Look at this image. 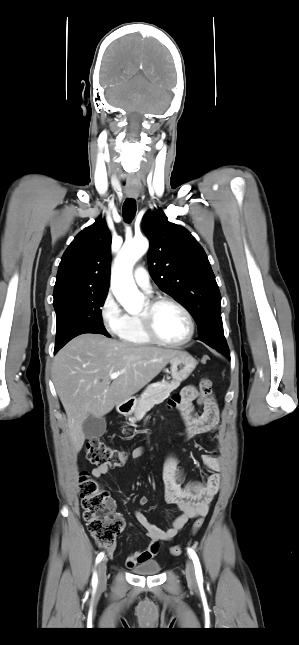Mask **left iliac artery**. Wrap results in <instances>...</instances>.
Returning <instances> with one entry per match:
<instances>
[{
  "label": "left iliac artery",
  "mask_w": 299,
  "mask_h": 645,
  "mask_svg": "<svg viewBox=\"0 0 299 645\" xmlns=\"http://www.w3.org/2000/svg\"><path fill=\"white\" fill-rule=\"evenodd\" d=\"M188 553H189V555H190V557H191V559L193 560V563H194L196 579H197V581H202L203 576H202V569H201V565H200V562H199V558H198L197 554L195 553V551L193 549H191V548H188Z\"/></svg>",
  "instance_id": "44dca946"
}]
</instances>
